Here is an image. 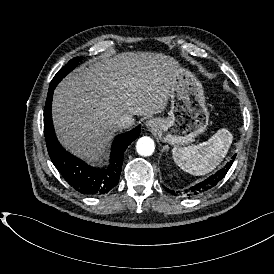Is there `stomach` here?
<instances>
[{"label": "stomach", "mask_w": 274, "mask_h": 274, "mask_svg": "<svg viewBox=\"0 0 274 274\" xmlns=\"http://www.w3.org/2000/svg\"><path fill=\"white\" fill-rule=\"evenodd\" d=\"M174 82L169 116L163 119L156 135L161 141L180 147L190 144L205 132L209 113L202 86L190 72L179 68Z\"/></svg>", "instance_id": "0dacf381"}]
</instances>
